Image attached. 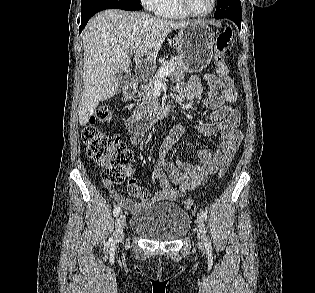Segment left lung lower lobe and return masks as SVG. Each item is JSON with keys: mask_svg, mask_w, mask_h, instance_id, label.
<instances>
[{"mask_svg": "<svg viewBox=\"0 0 315 293\" xmlns=\"http://www.w3.org/2000/svg\"><path fill=\"white\" fill-rule=\"evenodd\" d=\"M228 19L234 21L237 24V26L240 28V26H241V17L240 18L239 17H229Z\"/></svg>", "mask_w": 315, "mask_h": 293, "instance_id": "1", "label": "left lung lower lobe"}]
</instances>
